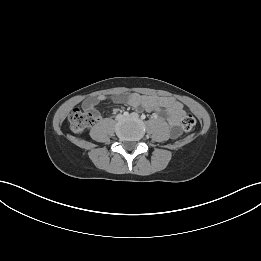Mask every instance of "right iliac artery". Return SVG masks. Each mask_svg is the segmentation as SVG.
<instances>
[{
    "mask_svg": "<svg viewBox=\"0 0 261 261\" xmlns=\"http://www.w3.org/2000/svg\"><path fill=\"white\" fill-rule=\"evenodd\" d=\"M123 115H124V116H128L129 113H128L127 111H125V112L123 113Z\"/></svg>",
    "mask_w": 261,
    "mask_h": 261,
    "instance_id": "82829eb1",
    "label": "right iliac artery"
}]
</instances>
